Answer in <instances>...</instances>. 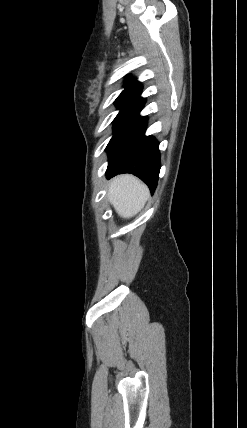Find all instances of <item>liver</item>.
Returning <instances> with one entry per match:
<instances>
[{
    "instance_id": "obj_1",
    "label": "liver",
    "mask_w": 247,
    "mask_h": 428,
    "mask_svg": "<svg viewBox=\"0 0 247 428\" xmlns=\"http://www.w3.org/2000/svg\"><path fill=\"white\" fill-rule=\"evenodd\" d=\"M107 197L120 217L131 218L144 207L149 189L133 175H119L110 182Z\"/></svg>"
}]
</instances>
